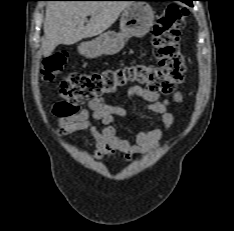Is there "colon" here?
<instances>
[{"mask_svg": "<svg viewBox=\"0 0 234 231\" xmlns=\"http://www.w3.org/2000/svg\"><path fill=\"white\" fill-rule=\"evenodd\" d=\"M188 13L186 7L172 4L162 12L152 28V45L157 65L138 63L128 67L91 73H71L62 80L59 92L60 112L74 114L80 105L111 95L132 84L158 94L171 93L182 83L186 71L185 57L180 45V33ZM66 55L59 53L44 61L42 71L50 78L60 71Z\"/></svg>", "mask_w": 234, "mask_h": 231, "instance_id": "obj_1", "label": "colon"}]
</instances>
